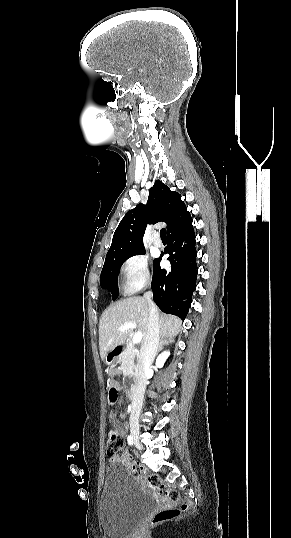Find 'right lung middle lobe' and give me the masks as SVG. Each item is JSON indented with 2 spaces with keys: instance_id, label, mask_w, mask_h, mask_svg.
<instances>
[{
  "instance_id": "obj_1",
  "label": "right lung middle lobe",
  "mask_w": 291,
  "mask_h": 538,
  "mask_svg": "<svg viewBox=\"0 0 291 538\" xmlns=\"http://www.w3.org/2000/svg\"><path fill=\"white\" fill-rule=\"evenodd\" d=\"M139 254H145V249L138 250L136 252L123 255L120 257H117L115 259L105 260L101 277H100V283L101 286L111 292L113 295V300H115L118 297L119 289H118V274L121 265L130 257L134 255Z\"/></svg>"
}]
</instances>
